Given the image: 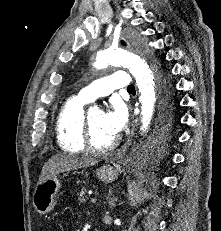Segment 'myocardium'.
I'll use <instances>...</instances> for the list:
<instances>
[{"mask_svg":"<svg viewBox=\"0 0 221 231\" xmlns=\"http://www.w3.org/2000/svg\"><path fill=\"white\" fill-rule=\"evenodd\" d=\"M82 137H83V142L85 148L93 153L97 154H104L109 151H112L115 149L119 142L120 139L119 137H116L111 143H109L105 147H98L94 144L93 139H92V133H91V127H90V120H89V114L84 115L83 118V123H82Z\"/></svg>","mask_w":221,"mask_h":231,"instance_id":"1","label":"myocardium"}]
</instances>
